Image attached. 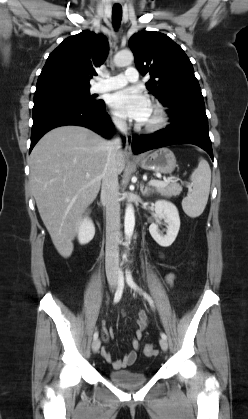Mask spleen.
Returning <instances> with one entry per match:
<instances>
[{
	"label": "spleen",
	"mask_w": 248,
	"mask_h": 419,
	"mask_svg": "<svg viewBox=\"0 0 248 419\" xmlns=\"http://www.w3.org/2000/svg\"><path fill=\"white\" fill-rule=\"evenodd\" d=\"M190 180L193 189L189 190L183 199L182 208L189 217L195 218L204 211L210 192L211 169L205 159L200 158L198 167L192 172Z\"/></svg>",
	"instance_id": "spleen-1"
}]
</instances>
